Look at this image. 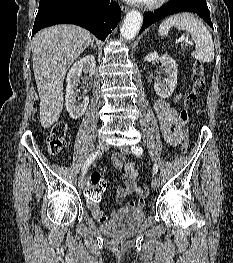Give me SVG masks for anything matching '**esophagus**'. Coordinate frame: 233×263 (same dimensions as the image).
I'll return each instance as SVG.
<instances>
[{"instance_id": "obj_1", "label": "esophagus", "mask_w": 233, "mask_h": 263, "mask_svg": "<svg viewBox=\"0 0 233 263\" xmlns=\"http://www.w3.org/2000/svg\"><path fill=\"white\" fill-rule=\"evenodd\" d=\"M121 9H122V11L125 12V13L129 11V8L126 7V6H122Z\"/></svg>"}]
</instances>
